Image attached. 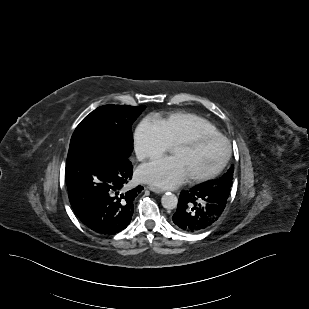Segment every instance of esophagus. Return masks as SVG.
<instances>
[{"label": "esophagus", "instance_id": "1", "mask_svg": "<svg viewBox=\"0 0 309 309\" xmlns=\"http://www.w3.org/2000/svg\"><path fill=\"white\" fill-rule=\"evenodd\" d=\"M148 188H149V190H151V191H153V192H155L157 194H162V193L165 192V190H163V189H161L159 187H156V186H149Z\"/></svg>", "mask_w": 309, "mask_h": 309}]
</instances>
